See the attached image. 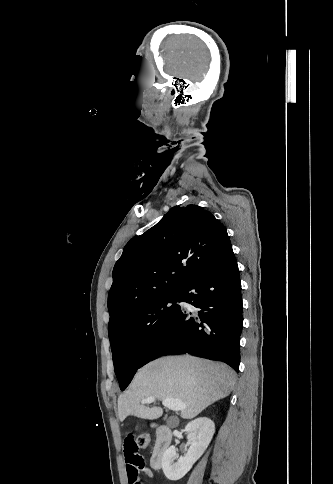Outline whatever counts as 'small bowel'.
<instances>
[{
	"label": "small bowel",
	"mask_w": 333,
	"mask_h": 484,
	"mask_svg": "<svg viewBox=\"0 0 333 484\" xmlns=\"http://www.w3.org/2000/svg\"><path fill=\"white\" fill-rule=\"evenodd\" d=\"M124 456L127 466L129 484H142L141 475L152 477V471L146 466L144 458L139 454V447L132 435L124 440Z\"/></svg>",
	"instance_id": "1"
}]
</instances>
